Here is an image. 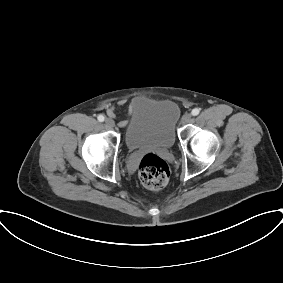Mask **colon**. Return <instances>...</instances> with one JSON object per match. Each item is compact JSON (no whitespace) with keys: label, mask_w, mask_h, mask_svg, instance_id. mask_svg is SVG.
Instances as JSON below:
<instances>
[{"label":"colon","mask_w":283,"mask_h":283,"mask_svg":"<svg viewBox=\"0 0 283 283\" xmlns=\"http://www.w3.org/2000/svg\"><path fill=\"white\" fill-rule=\"evenodd\" d=\"M138 176L146 189L158 191L164 188L168 183L170 170L163 159L155 154L149 153L140 161Z\"/></svg>","instance_id":"colon-1"}]
</instances>
